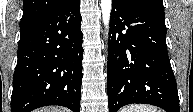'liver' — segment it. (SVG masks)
I'll list each match as a JSON object with an SVG mask.
<instances>
[{"label":"liver","instance_id":"liver-1","mask_svg":"<svg viewBox=\"0 0 193 112\" xmlns=\"http://www.w3.org/2000/svg\"><path fill=\"white\" fill-rule=\"evenodd\" d=\"M36 112H68V110L65 108L49 107V108L37 109Z\"/></svg>","mask_w":193,"mask_h":112}]
</instances>
